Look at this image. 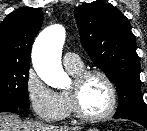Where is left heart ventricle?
<instances>
[{"mask_svg": "<svg viewBox=\"0 0 147 131\" xmlns=\"http://www.w3.org/2000/svg\"><path fill=\"white\" fill-rule=\"evenodd\" d=\"M74 87L72 81L70 88ZM79 99L83 111L89 115L103 113L109 106L110 93L105 81L98 77L88 78L79 88Z\"/></svg>", "mask_w": 147, "mask_h": 131, "instance_id": "obj_1", "label": "left heart ventricle"}]
</instances>
